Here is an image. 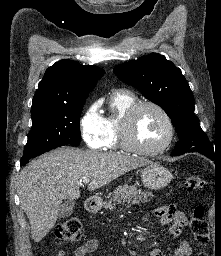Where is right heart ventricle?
Returning a JSON list of instances; mask_svg holds the SVG:
<instances>
[{
	"label": "right heart ventricle",
	"instance_id": "1",
	"mask_svg": "<svg viewBox=\"0 0 221 256\" xmlns=\"http://www.w3.org/2000/svg\"><path fill=\"white\" fill-rule=\"evenodd\" d=\"M135 103L136 96L127 91H118L109 100L110 114L105 118L107 131L105 148L117 150L123 148L120 142V127L126 111Z\"/></svg>",
	"mask_w": 221,
	"mask_h": 256
}]
</instances>
